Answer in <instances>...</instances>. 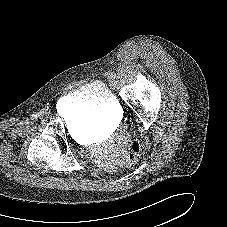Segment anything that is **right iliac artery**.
Masks as SVG:
<instances>
[{
    "label": "right iliac artery",
    "instance_id": "right-iliac-artery-1",
    "mask_svg": "<svg viewBox=\"0 0 227 227\" xmlns=\"http://www.w3.org/2000/svg\"><path fill=\"white\" fill-rule=\"evenodd\" d=\"M31 118L34 120V119H37L38 116H37V114H32V115H31Z\"/></svg>",
    "mask_w": 227,
    "mask_h": 227
}]
</instances>
